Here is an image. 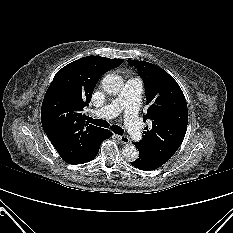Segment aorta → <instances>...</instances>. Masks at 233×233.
I'll use <instances>...</instances> for the list:
<instances>
[{
    "mask_svg": "<svg viewBox=\"0 0 233 233\" xmlns=\"http://www.w3.org/2000/svg\"><path fill=\"white\" fill-rule=\"evenodd\" d=\"M123 79L116 74H108L102 80V88L107 94L116 95L123 88ZM125 160L131 162L138 158V149L133 144H126L122 148Z\"/></svg>",
    "mask_w": 233,
    "mask_h": 233,
    "instance_id": "1",
    "label": "aorta"
}]
</instances>
